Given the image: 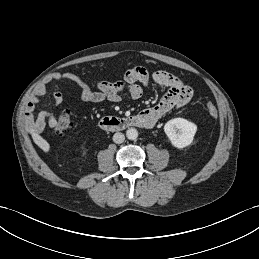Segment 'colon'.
Segmentation results:
<instances>
[{
	"mask_svg": "<svg viewBox=\"0 0 259 259\" xmlns=\"http://www.w3.org/2000/svg\"><path fill=\"white\" fill-rule=\"evenodd\" d=\"M206 110L210 116L212 117L217 116L218 111L214 104L208 103L206 105ZM71 127H72L71 115L67 112H64L57 119L56 125L54 126L53 130L56 134H63V133H66Z\"/></svg>",
	"mask_w": 259,
	"mask_h": 259,
	"instance_id": "5ec220e1",
	"label": "colon"
}]
</instances>
